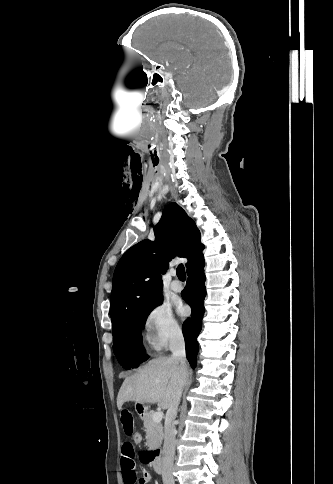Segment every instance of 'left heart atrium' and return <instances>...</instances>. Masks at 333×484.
Masks as SVG:
<instances>
[{"label":"left heart atrium","instance_id":"left-heart-atrium-1","mask_svg":"<svg viewBox=\"0 0 333 484\" xmlns=\"http://www.w3.org/2000/svg\"><path fill=\"white\" fill-rule=\"evenodd\" d=\"M178 312L181 316H186L188 314V308L186 306H179Z\"/></svg>","mask_w":333,"mask_h":484}]
</instances>
